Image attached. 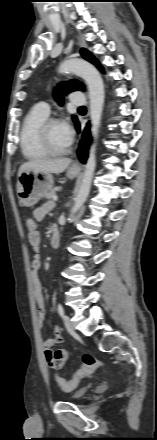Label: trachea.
<instances>
[{
    "label": "trachea",
    "instance_id": "obj_1",
    "mask_svg": "<svg viewBox=\"0 0 157 440\" xmlns=\"http://www.w3.org/2000/svg\"><path fill=\"white\" fill-rule=\"evenodd\" d=\"M79 109H85V106H81V107H79Z\"/></svg>",
    "mask_w": 157,
    "mask_h": 440
}]
</instances>
